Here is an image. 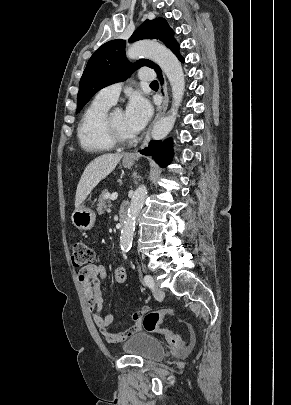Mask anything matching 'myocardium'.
Instances as JSON below:
<instances>
[{"label": "myocardium", "mask_w": 291, "mask_h": 405, "mask_svg": "<svg viewBox=\"0 0 291 405\" xmlns=\"http://www.w3.org/2000/svg\"><path fill=\"white\" fill-rule=\"evenodd\" d=\"M116 110H112L107 113L105 116L104 120V129L107 138L109 141L114 145V146H128L133 144L136 141V137H124L122 136L115 128L113 121H112V115Z\"/></svg>", "instance_id": "1"}]
</instances>
